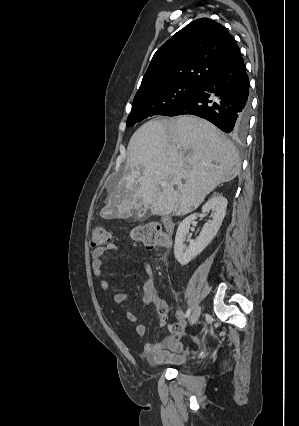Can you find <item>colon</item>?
Returning <instances> with one entry per match:
<instances>
[{
  "instance_id": "colon-1",
  "label": "colon",
  "mask_w": 299,
  "mask_h": 426,
  "mask_svg": "<svg viewBox=\"0 0 299 426\" xmlns=\"http://www.w3.org/2000/svg\"><path fill=\"white\" fill-rule=\"evenodd\" d=\"M131 236L148 248L166 247L169 239L161 225L158 223H148L133 229ZM92 248L106 247L109 242V233L102 225H95L90 234L89 240Z\"/></svg>"
}]
</instances>
